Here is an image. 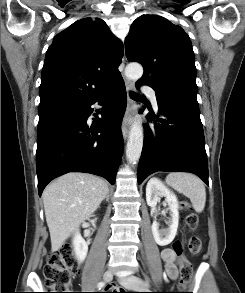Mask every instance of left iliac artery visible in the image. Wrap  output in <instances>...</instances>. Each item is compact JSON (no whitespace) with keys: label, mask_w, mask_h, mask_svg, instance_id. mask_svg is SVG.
I'll return each mask as SVG.
<instances>
[{"label":"left iliac artery","mask_w":245,"mask_h":293,"mask_svg":"<svg viewBox=\"0 0 245 293\" xmlns=\"http://www.w3.org/2000/svg\"><path fill=\"white\" fill-rule=\"evenodd\" d=\"M147 288H148V285L146 283H144V286L141 289L143 290V289H147Z\"/></svg>","instance_id":"left-iliac-artery-1"}]
</instances>
